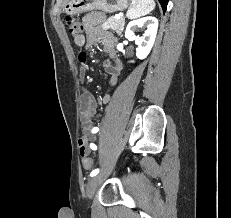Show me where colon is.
I'll return each instance as SVG.
<instances>
[{"instance_id":"colon-1","label":"colon","mask_w":231,"mask_h":218,"mask_svg":"<svg viewBox=\"0 0 231 218\" xmlns=\"http://www.w3.org/2000/svg\"><path fill=\"white\" fill-rule=\"evenodd\" d=\"M65 23L68 27V32L72 37H78L82 35V32L84 30L83 24L76 19L75 17L72 16H67L65 19ZM80 56H85L86 59V54L84 52H81L79 54V59ZM82 156V165L85 169L89 170L93 166V161L92 159L87 156L86 154L81 155Z\"/></svg>"}]
</instances>
